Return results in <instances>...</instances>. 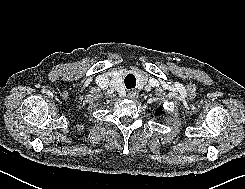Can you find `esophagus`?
<instances>
[{"mask_svg":"<svg viewBox=\"0 0 245 189\" xmlns=\"http://www.w3.org/2000/svg\"><path fill=\"white\" fill-rule=\"evenodd\" d=\"M138 92H136V91H129L128 93H127V97L129 98V99H136V98H138Z\"/></svg>","mask_w":245,"mask_h":189,"instance_id":"esophagus-1","label":"esophagus"}]
</instances>
